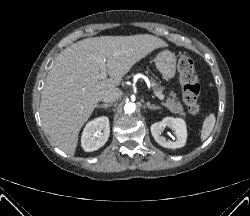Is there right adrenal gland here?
Instances as JSON below:
<instances>
[{"instance_id": "2a0ac1e0", "label": "right adrenal gland", "mask_w": 250, "mask_h": 216, "mask_svg": "<svg viewBox=\"0 0 250 216\" xmlns=\"http://www.w3.org/2000/svg\"><path fill=\"white\" fill-rule=\"evenodd\" d=\"M109 107H111V104H101L97 106V108H109Z\"/></svg>"}]
</instances>
